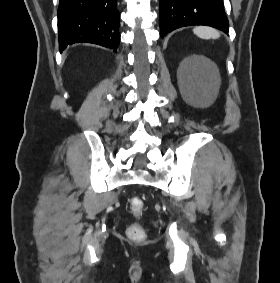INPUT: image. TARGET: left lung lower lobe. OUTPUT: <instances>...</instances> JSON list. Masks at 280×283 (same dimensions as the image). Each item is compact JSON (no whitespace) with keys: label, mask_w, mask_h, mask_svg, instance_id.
I'll return each mask as SVG.
<instances>
[{"label":"left lung lower lobe","mask_w":280,"mask_h":283,"mask_svg":"<svg viewBox=\"0 0 280 283\" xmlns=\"http://www.w3.org/2000/svg\"><path fill=\"white\" fill-rule=\"evenodd\" d=\"M161 37L177 28L207 25L228 33L223 0H160Z\"/></svg>","instance_id":"0a47b994"}]
</instances>
